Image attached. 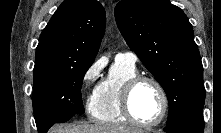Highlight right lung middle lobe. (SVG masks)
<instances>
[{
    "label": "right lung middle lobe",
    "mask_w": 221,
    "mask_h": 133,
    "mask_svg": "<svg viewBox=\"0 0 221 133\" xmlns=\"http://www.w3.org/2000/svg\"><path fill=\"white\" fill-rule=\"evenodd\" d=\"M93 62L75 63L34 71L33 111L37 128L62 123L83 114L81 87Z\"/></svg>",
    "instance_id": "obj_1"
}]
</instances>
